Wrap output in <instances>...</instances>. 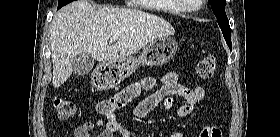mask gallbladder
Masks as SVG:
<instances>
[{
	"label": "gallbladder",
	"instance_id": "gallbladder-1",
	"mask_svg": "<svg viewBox=\"0 0 280 137\" xmlns=\"http://www.w3.org/2000/svg\"><path fill=\"white\" fill-rule=\"evenodd\" d=\"M94 58L87 53H82L73 58L72 71L77 76H84L90 73L94 67Z\"/></svg>",
	"mask_w": 280,
	"mask_h": 137
}]
</instances>
